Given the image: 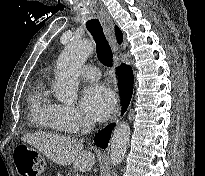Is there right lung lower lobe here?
Masks as SVG:
<instances>
[{"label":"right lung lower lobe","mask_w":205,"mask_h":176,"mask_svg":"<svg viewBox=\"0 0 205 176\" xmlns=\"http://www.w3.org/2000/svg\"><path fill=\"white\" fill-rule=\"evenodd\" d=\"M119 92L122 98V114L125 113L133 93V72L130 66L123 64L117 68ZM115 124H111L95 136V143L101 148H106Z\"/></svg>","instance_id":"98d812e1"}]
</instances>
